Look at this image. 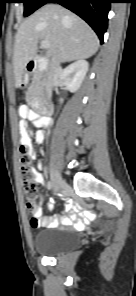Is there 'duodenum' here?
Returning <instances> with one entry per match:
<instances>
[{"label":"duodenum","mask_w":136,"mask_h":296,"mask_svg":"<svg viewBox=\"0 0 136 296\" xmlns=\"http://www.w3.org/2000/svg\"><path fill=\"white\" fill-rule=\"evenodd\" d=\"M47 64H46V57L45 56H36L34 59L30 60L27 64V70L29 72H34L35 70H39L41 73L46 71ZM39 109H41L44 113V117H39V119L36 121L35 125L39 127H45L49 126L51 124V120L49 118V115L51 113L50 109L46 106H40Z\"/></svg>","instance_id":"410a0bca"}]
</instances>
